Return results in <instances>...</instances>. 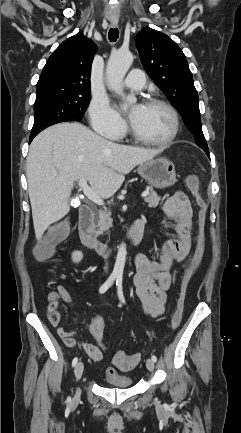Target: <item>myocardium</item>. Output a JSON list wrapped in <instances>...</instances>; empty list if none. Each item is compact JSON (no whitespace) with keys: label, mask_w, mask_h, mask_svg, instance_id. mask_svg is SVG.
Wrapping results in <instances>:
<instances>
[{"label":"myocardium","mask_w":241,"mask_h":433,"mask_svg":"<svg viewBox=\"0 0 241 433\" xmlns=\"http://www.w3.org/2000/svg\"><path fill=\"white\" fill-rule=\"evenodd\" d=\"M144 105H146V106H162V107L166 108L171 113L172 118H173V122H174L173 130H172L171 134L163 140H150V139L145 138L142 135H140L133 128V126L131 124L130 125V133H131L132 137L136 141H138L142 144L150 145V146H165V145H168L171 142H173L175 140V138L177 137L179 130H180V117H179V113L175 109V107L171 103H169L168 101L163 100V99H159V98L149 99L148 101H146L144 103Z\"/></svg>","instance_id":"myocardium-1"}]
</instances>
